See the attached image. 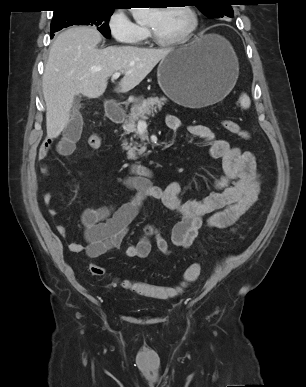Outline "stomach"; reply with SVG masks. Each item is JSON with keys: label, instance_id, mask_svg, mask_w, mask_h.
<instances>
[{"label": "stomach", "instance_id": "stomach-1", "mask_svg": "<svg viewBox=\"0 0 306 387\" xmlns=\"http://www.w3.org/2000/svg\"><path fill=\"white\" fill-rule=\"evenodd\" d=\"M239 74L230 43L216 34L200 35L171 51L157 69L162 91L177 104L201 108L222 100Z\"/></svg>", "mask_w": 306, "mask_h": 387}]
</instances>
